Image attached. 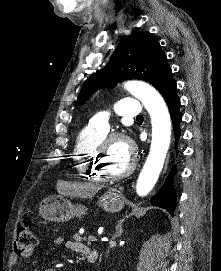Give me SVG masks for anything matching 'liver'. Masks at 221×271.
<instances>
[{"mask_svg": "<svg viewBox=\"0 0 221 271\" xmlns=\"http://www.w3.org/2000/svg\"><path fill=\"white\" fill-rule=\"evenodd\" d=\"M70 195H80V197H88L92 195L96 189H101L100 185L95 187V185H88V183H77V185H69Z\"/></svg>", "mask_w": 221, "mask_h": 271, "instance_id": "liver-1", "label": "liver"}]
</instances>
